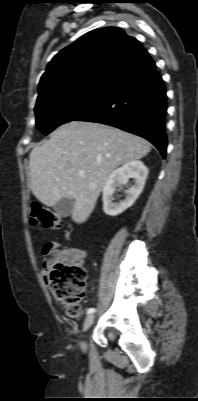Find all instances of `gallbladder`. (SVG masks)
Instances as JSON below:
<instances>
[{
    "label": "gallbladder",
    "mask_w": 198,
    "mask_h": 401,
    "mask_svg": "<svg viewBox=\"0 0 198 401\" xmlns=\"http://www.w3.org/2000/svg\"><path fill=\"white\" fill-rule=\"evenodd\" d=\"M74 207L73 199L63 198L54 205V210L62 217H67L71 214Z\"/></svg>",
    "instance_id": "1"
}]
</instances>
